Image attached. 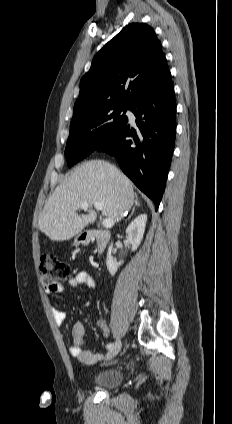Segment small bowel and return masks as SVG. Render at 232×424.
Listing matches in <instances>:
<instances>
[{
	"instance_id": "small-bowel-1",
	"label": "small bowel",
	"mask_w": 232,
	"mask_h": 424,
	"mask_svg": "<svg viewBox=\"0 0 232 424\" xmlns=\"http://www.w3.org/2000/svg\"><path fill=\"white\" fill-rule=\"evenodd\" d=\"M69 285L73 288L79 286H85L87 288H94L96 283L92 274L86 270H80L69 280ZM65 290L64 285L59 284L56 288L52 289L55 293H60ZM52 315L58 324H63L67 319V314L59 309L52 308ZM98 325L104 337H108L110 329L107 324L100 320ZM71 333L73 336V344L69 348V353L72 357L77 358L79 362L85 365H92L96 363L100 358L101 354L93 353L89 350L84 349L85 332L81 322L76 321L71 327Z\"/></svg>"
}]
</instances>
